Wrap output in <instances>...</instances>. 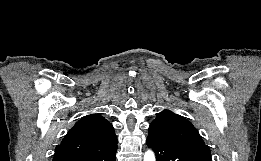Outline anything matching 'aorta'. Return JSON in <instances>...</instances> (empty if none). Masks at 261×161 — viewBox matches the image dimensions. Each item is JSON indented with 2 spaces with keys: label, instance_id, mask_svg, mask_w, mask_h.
Listing matches in <instances>:
<instances>
[{
  "label": "aorta",
  "instance_id": "aorta-1",
  "mask_svg": "<svg viewBox=\"0 0 261 161\" xmlns=\"http://www.w3.org/2000/svg\"><path fill=\"white\" fill-rule=\"evenodd\" d=\"M144 161H155V155L152 150H147L144 154Z\"/></svg>",
  "mask_w": 261,
  "mask_h": 161
}]
</instances>
